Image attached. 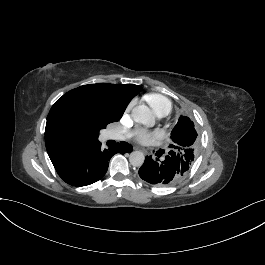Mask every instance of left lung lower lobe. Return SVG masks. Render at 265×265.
<instances>
[{"mask_svg":"<svg viewBox=\"0 0 265 265\" xmlns=\"http://www.w3.org/2000/svg\"><path fill=\"white\" fill-rule=\"evenodd\" d=\"M158 158L146 156L144 164L140 167L138 174L141 179L155 186H168L181 180L185 176L184 166L178 155L171 151L164 159L156 153Z\"/></svg>","mask_w":265,"mask_h":265,"instance_id":"0a47b994","label":"left lung lower lobe"}]
</instances>
